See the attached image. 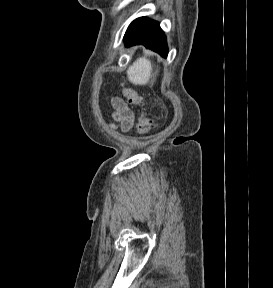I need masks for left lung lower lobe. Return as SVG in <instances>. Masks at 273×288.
I'll list each match as a JSON object with an SVG mask.
<instances>
[{
    "instance_id": "obj_1",
    "label": "left lung lower lobe",
    "mask_w": 273,
    "mask_h": 288,
    "mask_svg": "<svg viewBox=\"0 0 273 288\" xmlns=\"http://www.w3.org/2000/svg\"><path fill=\"white\" fill-rule=\"evenodd\" d=\"M124 42L127 46L142 44L163 57H167L166 37L159 23L146 17L135 19L128 27Z\"/></svg>"
}]
</instances>
